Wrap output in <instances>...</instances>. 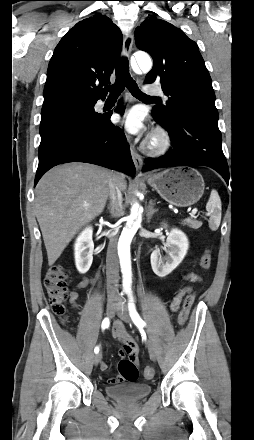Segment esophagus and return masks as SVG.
Here are the masks:
<instances>
[{
  "mask_svg": "<svg viewBox=\"0 0 254 440\" xmlns=\"http://www.w3.org/2000/svg\"><path fill=\"white\" fill-rule=\"evenodd\" d=\"M132 46H133V36L130 33H127L124 35L123 38V55L126 57H129L132 51ZM130 142V150H131V156L134 162V165L136 167V169L139 171L142 168V157L140 156V154L136 151V148L134 146V144L129 140Z\"/></svg>",
  "mask_w": 254,
  "mask_h": 440,
  "instance_id": "1",
  "label": "esophagus"
}]
</instances>
